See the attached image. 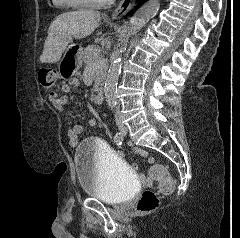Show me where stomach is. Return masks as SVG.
<instances>
[{"mask_svg": "<svg viewBox=\"0 0 240 238\" xmlns=\"http://www.w3.org/2000/svg\"><path fill=\"white\" fill-rule=\"evenodd\" d=\"M83 49L77 44H70L58 63V74L62 79L72 77L81 67Z\"/></svg>", "mask_w": 240, "mask_h": 238, "instance_id": "0dacf381", "label": "stomach"}]
</instances>
